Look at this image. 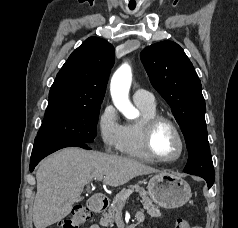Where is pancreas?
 <instances>
[{"label": "pancreas", "instance_id": "cf45deb5", "mask_svg": "<svg viewBox=\"0 0 238 228\" xmlns=\"http://www.w3.org/2000/svg\"><path fill=\"white\" fill-rule=\"evenodd\" d=\"M134 190L139 193L140 197L142 198L141 203L147 213L154 218L161 217V212L157 206L152 203V200L147 196V192L141 188L138 184L128 186V189H122L113 199L111 206L108 208L107 212L103 213V216L100 220L101 226H108L112 224L115 220V213L118 207L125 204V201L121 198L129 191Z\"/></svg>", "mask_w": 238, "mask_h": 228}]
</instances>
